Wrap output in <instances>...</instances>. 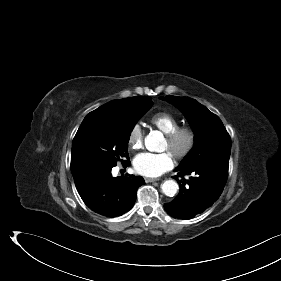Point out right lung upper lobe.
<instances>
[{"label":"right lung upper lobe","mask_w":281,"mask_h":281,"mask_svg":"<svg viewBox=\"0 0 281 281\" xmlns=\"http://www.w3.org/2000/svg\"><path fill=\"white\" fill-rule=\"evenodd\" d=\"M141 97H132V98H125V99H118L110 101L96 110L90 112L85 119L89 117H108L120 114L124 112L129 107L133 106L135 103H137ZM75 171L72 170V173Z\"/></svg>","instance_id":"obj_1"}]
</instances>
